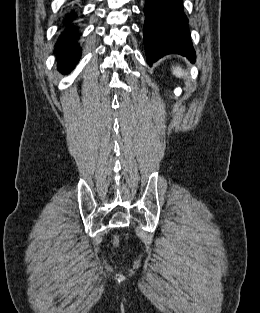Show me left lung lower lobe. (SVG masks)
I'll use <instances>...</instances> for the list:
<instances>
[{
  "label": "left lung lower lobe",
  "mask_w": 260,
  "mask_h": 313,
  "mask_svg": "<svg viewBox=\"0 0 260 313\" xmlns=\"http://www.w3.org/2000/svg\"><path fill=\"white\" fill-rule=\"evenodd\" d=\"M143 11V40L147 62L150 65L170 53H177L192 62L195 61L196 55L182 0H146Z\"/></svg>",
  "instance_id": "left-lung-lower-lobe-1"
}]
</instances>
